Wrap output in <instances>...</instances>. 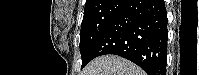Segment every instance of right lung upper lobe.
Returning a JSON list of instances; mask_svg holds the SVG:
<instances>
[{"instance_id": "right-lung-upper-lobe-1", "label": "right lung upper lobe", "mask_w": 199, "mask_h": 75, "mask_svg": "<svg viewBox=\"0 0 199 75\" xmlns=\"http://www.w3.org/2000/svg\"><path fill=\"white\" fill-rule=\"evenodd\" d=\"M106 0H86L85 9L102 5Z\"/></svg>"}]
</instances>
